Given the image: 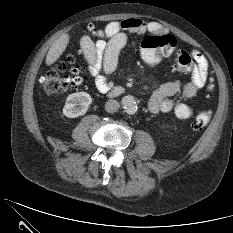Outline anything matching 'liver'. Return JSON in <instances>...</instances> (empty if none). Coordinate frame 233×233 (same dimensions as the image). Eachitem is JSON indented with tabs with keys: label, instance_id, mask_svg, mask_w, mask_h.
Wrapping results in <instances>:
<instances>
[{
	"label": "liver",
	"instance_id": "6515ba94",
	"mask_svg": "<svg viewBox=\"0 0 233 233\" xmlns=\"http://www.w3.org/2000/svg\"><path fill=\"white\" fill-rule=\"evenodd\" d=\"M69 43V35L63 34L50 47L46 55V65L50 66L55 63L63 54Z\"/></svg>",
	"mask_w": 233,
	"mask_h": 233
}]
</instances>
